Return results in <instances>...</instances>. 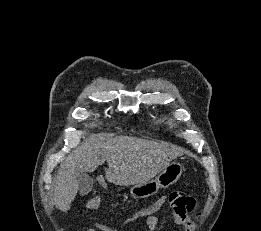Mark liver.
<instances>
[{"mask_svg":"<svg viewBox=\"0 0 261 231\" xmlns=\"http://www.w3.org/2000/svg\"><path fill=\"white\" fill-rule=\"evenodd\" d=\"M181 154L173 145L141 138L119 136L105 140L101 135H91L61 164L54 185L55 206L62 212L70 209L79 189L80 171L93 172L106 161L108 182L119 186L140 184L152 180Z\"/></svg>","mask_w":261,"mask_h":231,"instance_id":"obj_1","label":"liver"}]
</instances>
